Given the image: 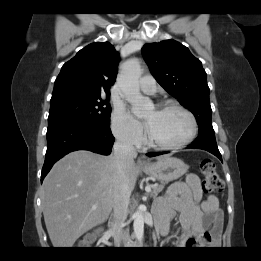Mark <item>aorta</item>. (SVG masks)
Segmentation results:
<instances>
[{
	"label": "aorta",
	"instance_id": "aorta-1",
	"mask_svg": "<svg viewBox=\"0 0 261 261\" xmlns=\"http://www.w3.org/2000/svg\"><path fill=\"white\" fill-rule=\"evenodd\" d=\"M141 74V66L137 59L125 62L119 74V84L124 98L137 107L134 112L137 116L142 115L145 110L152 106L151 100L143 97L140 93L139 78ZM133 229L136 239L141 242L144 237V216L141 207L134 213Z\"/></svg>",
	"mask_w": 261,
	"mask_h": 261
}]
</instances>
